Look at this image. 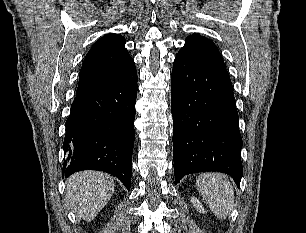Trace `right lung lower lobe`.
<instances>
[{"instance_id":"obj_1","label":"right lung lower lobe","mask_w":306,"mask_h":233,"mask_svg":"<svg viewBox=\"0 0 306 233\" xmlns=\"http://www.w3.org/2000/svg\"><path fill=\"white\" fill-rule=\"evenodd\" d=\"M136 97L135 66L116 83L75 97L66 121L62 178L99 170L130 189Z\"/></svg>"}]
</instances>
